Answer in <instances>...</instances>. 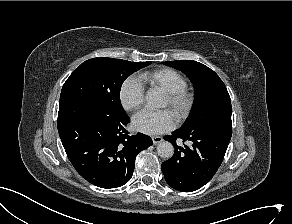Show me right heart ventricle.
I'll list each match as a JSON object with an SVG mask.
<instances>
[{
    "instance_id": "obj_1",
    "label": "right heart ventricle",
    "mask_w": 292,
    "mask_h": 224,
    "mask_svg": "<svg viewBox=\"0 0 292 224\" xmlns=\"http://www.w3.org/2000/svg\"><path fill=\"white\" fill-rule=\"evenodd\" d=\"M141 79L152 88H158L165 93L182 90L187 87L186 79L171 68H160L145 72L141 75Z\"/></svg>"
}]
</instances>
